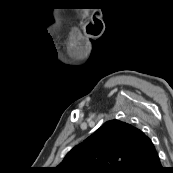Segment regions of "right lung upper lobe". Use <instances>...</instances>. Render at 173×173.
Instances as JSON below:
<instances>
[{"label": "right lung upper lobe", "instance_id": "right-lung-upper-lobe-1", "mask_svg": "<svg viewBox=\"0 0 173 173\" xmlns=\"http://www.w3.org/2000/svg\"><path fill=\"white\" fill-rule=\"evenodd\" d=\"M154 150L141 130L111 120L75 146L53 173H123L132 162Z\"/></svg>", "mask_w": 173, "mask_h": 173}]
</instances>
